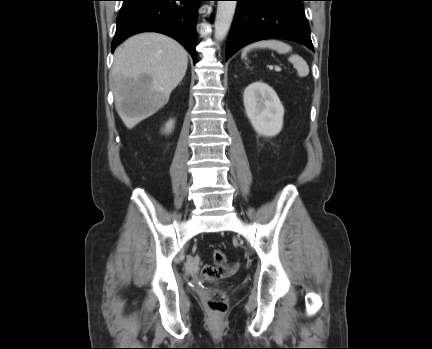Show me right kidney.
<instances>
[{
	"instance_id": "obj_1",
	"label": "right kidney",
	"mask_w": 432,
	"mask_h": 349,
	"mask_svg": "<svg viewBox=\"0 0 432 349\" xmlns=\"http://www.w3.org/2000/svg\"><path fill=\"white\" fill-rule=\"evenodd\" d=\"M173 127H174V121L170 120V121L166 124L165 132H166V133L171 132L172 129H173Z\"/></svg>"
}]
</instances>
